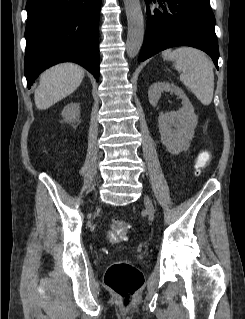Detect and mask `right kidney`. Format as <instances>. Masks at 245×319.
I'll list each match as a JSON object with an SVG mask.
<instances>
[{"label": "right kidney", "mask_w": 245, "mask_h": 319, "mask_svg": "<svg viewBox=\"0 0 245 319\" xmlns=\"http://www.w3.org/2000/svg\"><path fill=\"white\" fill-rule=\"evenodd\" d=\"M62 117L67 123L79 121L80 105L78 103H70L62 110Z\"/></svg>", "instance_id": "obj_1"}]
</instances>
